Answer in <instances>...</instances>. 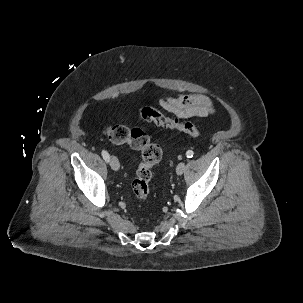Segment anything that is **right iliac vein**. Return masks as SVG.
<instances>
[{"label": "right iliac vein", "mask_w": 303, "mask_h": 303, "mask_svg": "<svg viewBox=\"0 0 303 303\" xmlns=\"http://www.w3.org/2000/svg\"><path fill=\"white\" fill-rule=\"evenodd\" d=\"M109 164H110L111 168L115 171H118L120 168L119 161L115 156L110 157Z\"/></svg>", "instance_id": "obj_1"}]
</instances>
